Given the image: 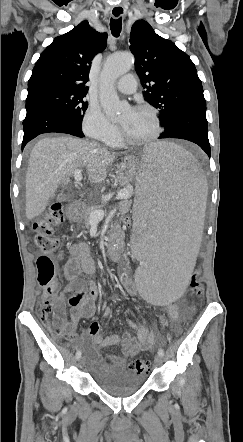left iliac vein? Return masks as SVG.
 I'll return each instance as SVG.
<instances>
[{
    "instance_id": "4c4485c4",
    "label": "left iliac vein",
    "mask_w": 243,
    "mask_h": 442,
    "mask_svg": "<svg viewBox=\"0 0 243 442\" xmlns=\"http://www.w3.org/2000/svg\"><path fill=\"white\" fill-rule=\"evenodd\" d=\"M161 363H162V356H160L159 354H157V355L155 356V364H156L157 366H159Z\"/></svg>"
}]
</instances>
